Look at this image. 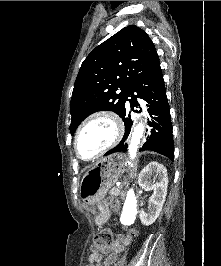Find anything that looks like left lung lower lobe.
Wrapping results in <instances>:
<instances>
[{
    "mask_svg": "<svg viewBox=\"0 0 221 266\" xmlns=\"http://www.w3.org/2000/svg\"><path fill=\"white\" fill-rule=\"evenodd\" d=\"M128 97L130 99H128ZM137 98L148 103L150 126L147 134V141L140 148V151L151 150L167 156L174 160V143L172 135V123L170 108L166 96L162 70L160 64L145 76L140 77L130 87L124 112L121 116L125 124V134L121 142L109 150L105 155L127 150L126 138L129 135L132 120L128 109L134 111V107L140 106ZM138 112V111H135Z\"/></svg>",
    "mask_w": 221,
    "mask_h": 266,
    "instance_id": "0a47b994",
    "label": "left lung lower lobe"
}]
</instances>
